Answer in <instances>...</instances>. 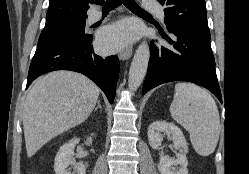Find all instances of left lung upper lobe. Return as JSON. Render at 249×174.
I'll list each match as a JSON object with an SVG mask.
<instances>
[{
  "label": "left lung upper lobe",
  "mask_w": 249,
  "mask_h": 174,
  "mask_svg": "<svg viewBox=\"0 0 249 174\" xmlns=\"http://www.w3.org/2000/svg\"><path fill=\"white\" fill-rule=\"evenodd\" d=\"M165 5L168 30L194 29L209 32L205 0H158Z\"/></svg>",
  "instance_id": "left-lung-upper-lobe-1"
}]
</instances>
